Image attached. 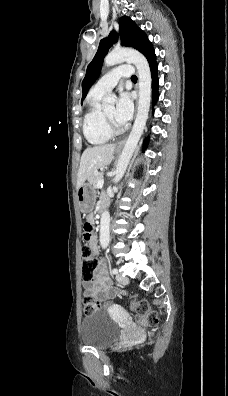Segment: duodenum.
<instances>
[{
	"mask_svg": "<svg viewBox=\"0 0 228 396\" xmlns=\"http://www.w3.org/2000/svg\"><path fill=\"white\" fill-rule=\"evenodd\" d=\"M104 208H106V203H105V202H102V203L100 204V211H103Z\"/></svg>",
	"mask_w": 228,
	"mask_h": 396,
	"instance_id": "duodenum-1",
	"label": "duodenum"
}]
</instances>
